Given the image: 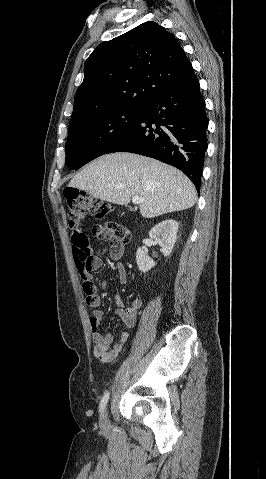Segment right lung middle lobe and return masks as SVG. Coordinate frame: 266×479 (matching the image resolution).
<instances>
[{
	"label": "right lung middle lobe",
	"instance_id": "right-lung-middle-lobe-1",
	"mask_svg": "<svg viewBox=\"0 0 266 479\" xmlns=\"http://www.w3.org/2000/svg\"><path fill=\"white\" fill-rule=\"evenodd\" d=\"M143 107L121 108L70 121L66 163L70 169L99 157L140 118Z\"/></svg>",
	"mask_w": 266,
	"mask_h": 479
}]
</instances>
